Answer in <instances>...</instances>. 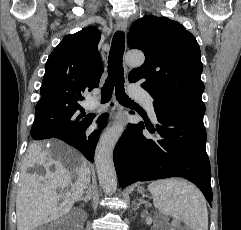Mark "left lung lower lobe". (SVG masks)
I'll use <instances>...</instances> for the list:
<instances>
[{"label": "left lung lower lobe", "instance_id": "0a47b994", "mask_svg": "<svg viewBox=\"0 0 241 230\" xmlns=\"http://www.w3.org/2000/svg\"><path fill=\"white\" fill-rule=\"evenodd\" d=\"M157 137L143 134L144 123L129 124L119 139L113 160L121 187L137 181L183 177L193 182L212 201L211 169L206 153L203 116L154 104ZM134 113V112H132ZM211 204V203H210Z\"/></svg>", "mask_w": 241, "mask_h": 230}]
</instances>
